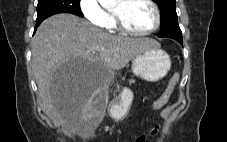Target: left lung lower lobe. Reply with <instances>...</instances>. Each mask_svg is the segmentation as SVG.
<instances>
[{
    "mask_svg": "<svg viewBox=\"0 0 227 142\" xmlns=\"http://www.w3.org/2000/svg\"><path fill=\"white\" fill-rule=\"evenodd\" d=\"M175 40H177L181 45H183L182 39H175Z\"/></svg>",
    "mask_w": 227,
    "mask_h": 142,
    "instance_id": "0a47b994",
    "label": "left lung lower lobe"
}]
</instances>
